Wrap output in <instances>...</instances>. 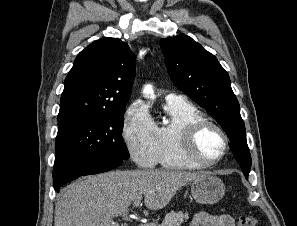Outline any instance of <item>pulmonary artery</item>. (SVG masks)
<instances>
[{"instance_id": "1", "label": "pulmonary artery", "mask_w": 297, "mask_h": 226, "mask_svg": "<svg viewBox=\"0 0 297 226\" xmlns=\"http://www.w3.org/2000/svg\"><path fill=\"white\" fill-rule=\"evenodd\" d=\"M166 100H176V101H183L185 100V97L178 93H169L166 96Z\"/></svg>"}]
</instances>
